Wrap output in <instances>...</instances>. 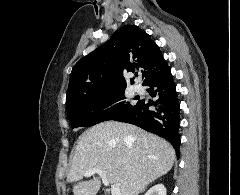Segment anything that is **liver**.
Here are the masks:
<instances>
[{
    "label": "liver",
    "mask_w": 240,
    "mask_h": 195,
    "mask_svg": "<svg viewBox=\"0 0 240 195\" xmlns=\"http://www.w3.org/2000/svg\"><path fill=\"white\" fill-rule=\"evenodd\" d=\"M176 159L171 143L121 121H103L86 129L75 147L67 181L74 183V195H96L100 177L118 183L120 195H138L143 187L165 175ZM99 167L103 175L88 181L84 173Z\"/></svg>",
    "instance_id": "6515ba94"
}]
</instances>
